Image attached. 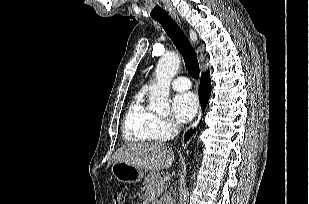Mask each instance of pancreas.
<instances>
[{"label":"pancreas","mask_w":309,"mask_h":204,"mask_svg":"<svg viewBox=\"0 0 309 204\" xmlns=\"http://www.w3.org/2000/svg\"><path fill=\"white\" fill-rule=\"evenodd\" d=\"M164 189V182L157 172H151L147 174L143 181L142 190L144 191V199L146 203L153 201L158 198Z\"/></svg>","instance_id":"1"}]
</instances>
